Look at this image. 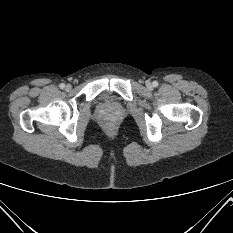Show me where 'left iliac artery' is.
<instances>
[{"label": "left iliac artery", "mask_w": 233, "mask_h": 233, "mask_svg": "<svg viewBox=\"0 0 233 233\" xmlns=\"http://www.w3.org/2000/svg\"><path fill=\"white\" fill-rule=\"evenodd\" d=\"M152 84H153L154 87L158 86V82L157 81H154Z\"/></svg>", "instance_id": "left-iliac-artery-1"}]
</instances>
